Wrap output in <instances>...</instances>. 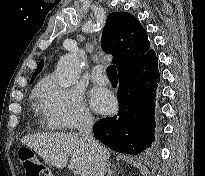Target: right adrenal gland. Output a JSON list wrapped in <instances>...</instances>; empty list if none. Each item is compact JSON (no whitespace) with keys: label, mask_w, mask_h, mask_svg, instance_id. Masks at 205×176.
I'll use <instances>...</instances> for the list:
<instances>
[{"label":"right adrenal gland","mask_w":205,"mask_h":176,"mask_svg":"<svg viewBox=\"0 0 205 176\" xmlns=\"http://www.w3.org/2000/svg\"><path fill=\"white\" fill-rule=\"evenodd\" d=\"M106 172H107V176H112L113 173L116 172V169H114V170L111 169V163L110 162L107 165Z\"/></svg>","instance_id":"1"}]
</instances>
